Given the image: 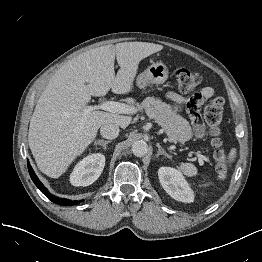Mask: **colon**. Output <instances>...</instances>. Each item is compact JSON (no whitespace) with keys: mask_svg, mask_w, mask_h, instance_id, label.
Here are the masks:
<instances>
[{"mask_svg":"<svg viewBox=\"0 0 262 262\" xmlns=\"http://www.w3.org/2000/svg\"><path fill=\"white\" fill-rule=\"evenodd\" d=\"M175 79L180 91L191 92L201 84V75L197 72L180 68L175 72ZM224 99L215 97L210 100L204 108L203 118L208 126L209 133L212 137V144L216 148L215 159L217 161L216 172L219 179H224L227 172L226 157L227 154L222 148V140L219 137L220 125L223 118ZM188 111L192 116L198 115V108L194 102L188 106Z\"/></svg>","mask_w":262,"mask_h":262,"instance_id":"5ec220e1","label":"colon"}]
</instances>
